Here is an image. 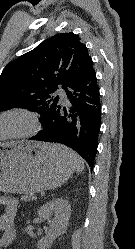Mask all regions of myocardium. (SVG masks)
<instances>
[{
    "mask_svg": "<svg viewBox=\"0 0 135 249\" xmlns=\"http://www.w3.org/2000/svg\"><path fill=\"white\" fill-rule=\"evenodd\" d=\"M9 116H17L22 118L26 122L27 126L22 131L1 135L0 142L8 140L28 139L35 136L40 129V121L38 115L28 108L10 107L0 111V119Z\"/></svg>",
    "mask_w": 135,
    "mask_h": 249,
    "instance_id": "obj_1",
    "label": "myocardium"
}]
</instances>
